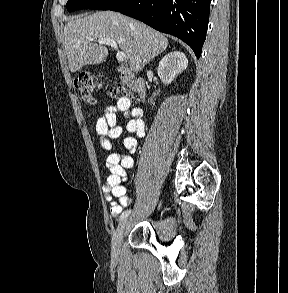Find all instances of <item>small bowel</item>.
I'll return each instance as SVG.
<instances>
[{"instance_id":"obj_1","label":"small bowel","mask_w":288,"mask_h":293,"mask_svg":"<svg viewBox=\"0 0 288 293\" xmlns=\"http://www.w3.org/2000/svg\"><path fill=\"white\" fill-rule=\"evenodd\" d=\"M119 114H122L127 120V132L135 134L137 138L145 136L142 111L140 108H131V103L127 98H121L107 107L96 122L95 130L100 138L101 147L109 152L106 166L110 175L103 184V192L113 216L122 213L124 208L131 203V198L127 195L126 182L128 170L134 166L133 154L137 147V138L126 136L123 138V145L127 153L121 155L113 151L114 141L122 134V127L117 124V115Z\"/></svg>"}]
</instances>
